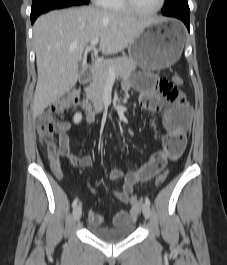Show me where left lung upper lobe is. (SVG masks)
Returning <instances> with one entry per match:
<instances>
[{
    "label": "left lung upper lobe",
    "mask_w": 227,
    "mask_h": 265,
    "mask_svg": "<svg viewBox=\"0 0 227 265\" xmlns=\"http://www.w3.org/2000/svg\"><path fill=\"white\" fill-rule=\"evenodd\" d=\"M163 15H190L187 0H165L162 8Z\"/></svg>",
    "instance_id": "left-lung-upper-lobe-1"
}]
</instances>
